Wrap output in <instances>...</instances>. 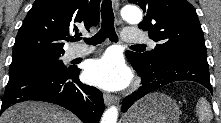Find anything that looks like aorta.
I'll return each instance as SVG.
<instances>
[{
    "label": "aorta",
    "instance_id": "1",
    "mask_svg": "<svg viewBox=\"0 0 221 123\" xmlns=\"http://www.w3.org/2000/svg\"><path fill=\"white\" fill-rule=\"evenodd\" d=\"M122 18L130 24H138L142 21V12L136 6L127 5L121 10ZM118 108L111 106L101 118V123H117Z\"/></svg>",
    "mask_w": 221,
    "mask_h": 123
}]
</instances>
